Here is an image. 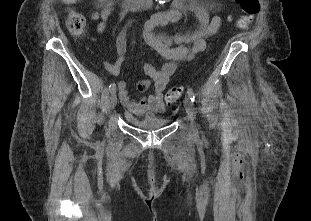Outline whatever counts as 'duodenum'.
<instances>
[{
  "label": "duodenum",
  "instance_id": "410a0bca",
  "mask_svg": "<svg viewBox=\"0 0 311 221\" xmlns=\"http://www.w3.org/2000/svg\"><path fill=\"white\" fill-rule=\"evenodd\" d=\"M124 10H142L150 6L151 0H120Z\"/></svg>",
  "mask_w": 311,
  "mask_h": 221
}]
</instances>
